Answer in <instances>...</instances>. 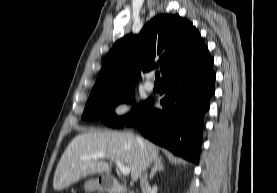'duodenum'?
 <instances>
[{"label":"duodenum","mask_w":277,"mask_h":193,"mask_svg":"<svg viewBox=\"0 0 277 193\" xmlns=\"http://www.w3.org/2000/svg\"><path fill=\"white\" fill-rule=\"evenodd\" d=\"M102 186L109 193H125L127 190L125 185L112 178L106 179Z\"/></svg>","instance_id":"1"}]
</instances>
